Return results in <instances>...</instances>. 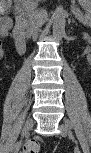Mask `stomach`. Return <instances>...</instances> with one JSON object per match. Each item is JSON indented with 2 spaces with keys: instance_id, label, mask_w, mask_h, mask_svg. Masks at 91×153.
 Instances as JSON below:
<instances>
[{
  "instance_id": "1",
  "label": "stomach",
  "mask_w": 91,
  "mask_h": 153,
  "mask_svg": "<svg viewBox=\"0 0 91 153\" xmlns=\"http://www.w3.org/2000/svg\"><path fill=\"white\" fill-rule=\"evenodd\" d=\"M79 3L87 10H90L91 1L90 0H79Z\"/></svg>"
}]
</instances>
